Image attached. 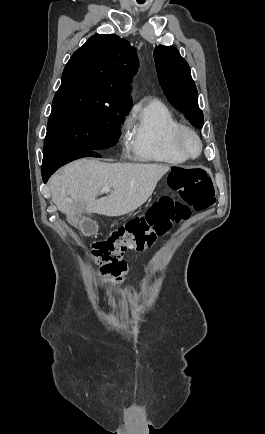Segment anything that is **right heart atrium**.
<instances>
[{
    "label": "right heart atrium",
    "mask_w": 265,
    "mask_h": 434,
    "mask_svg": "<svg viewBox=\"0 0 265 434\" xmlns=\"http://www.w3.org/2000/svg\"><path fill=\"white\" fill-rule=\"evenodd\" d=\"M121 124H124V121H121ZM119 131L121 132L120 134H119V143H126V132L128 131V128L125 126V125H122L120 128H119Z\"/></svg>",
    "instance_id": "1"
}]
</instances>
